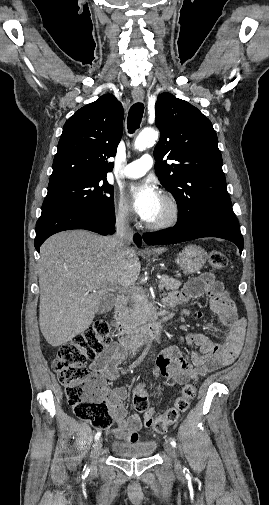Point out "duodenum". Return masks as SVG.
I'll return each mask as SVG.
<instances>
[{
    "instance_id": "1",
    "label": "duodenum",
    "mask_w": 269,
    "mask_h": 505,
    "mask_svg": "<svg viewBox=\"0 0 269 505\" xmlns=\"http://www.w3.org/2000/svg\"><path fill=\"white\" fill-rule=\"evenodd\" d=\"M126 300L118 297L113 306L111 324L118 341L129 347H136L145 341H160L162 339L164 322L151 317L146 323L137 325L129 323L123 317Z\"/></svg>"
}]
</instances>
